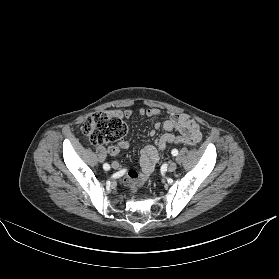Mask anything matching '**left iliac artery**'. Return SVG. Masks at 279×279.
Wrapping results in <instances>:
<instances>
[{"label": "left iliac artery", "instance_id": "left-iliac-artery-1", "mask_svg": "<svg viewBox=\"0 0 279 279\" xmlns=\"http://www.w3.org/2000/svg\"><path fill=\"white\" fill-rule=\"evenodd\" d=\"M171 153H172L173 156H177L178 155V150L177 149H173Z\"/></svg>", "mask_w": 279, "mask_h": 279}]
</instances>
